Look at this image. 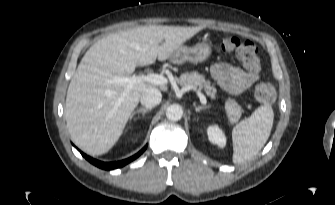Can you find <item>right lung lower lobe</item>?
Instances as JSON below:
<instances>
[{
  "mask_svg": "<svg viewBox=\"0 0 335 205\" xmlns=\"http://www.w3.org/2000/svg\"><path fill=\"white\" fill-rule=\"evenodd\" d=\"M147 146H145L141 151H139L137 154H135L134 156L125 159V160H121L118 162H101L98 161L96 159H93L89 156H87L86 154H84L83 152L80 151V153L82 154V156L87 159L90 163L94 164L95 166L105 169V170H111V169H115V168H119L122 167L126 164H128L129 162L133 161L134 159H136L137 157H139L145 150H146Z\"/></svg>",
  "mask_w": 335,
  "mask_h": 205,
  "instance_id": "obj_1",
  "label": "right lung lower lobe"
}]
</instances>
